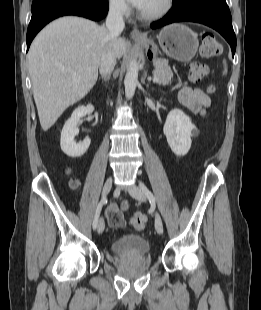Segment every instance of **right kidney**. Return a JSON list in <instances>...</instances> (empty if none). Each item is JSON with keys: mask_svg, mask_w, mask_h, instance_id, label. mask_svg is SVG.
Returning <instances> with one entry per match:
<instances>
[{"mask_svg": "<svg viewBox=\"0 0 261 310\" xmlns=\"http://www.w3.org/2000/svg\"><path fill=\"white\" fill-rule=\"evenodd\" d=\"M94 111V106L89 104L87 106H79L76 108L71 117L65 122L60 139V146L62 151L69 157H80L89 148L91 140L86 138L83 142L76 144L74 137L79 133L77 123L80 118L91 114Z\"/></svg>", "mask_w": 261, "mask_h": 310, "instance_id": "ca27d5eb", "label": "right kidney"}]
</instances>
